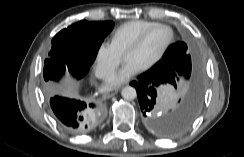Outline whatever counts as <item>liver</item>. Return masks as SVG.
I'll use <instances>...</instances> for the list:
<instances>
[{
    "mask_svg": "<svg viewBox=\"0 0 244 157\" xmlns=\"http://www.w3.org/2000/svg\"><path fill=\"white\" fill-rule=\"evenodd\" d=\"M77 85L73 84L72 82L68 81L67 82V85H66V88L63 90V92L66 94V95H71L73 94V91H74V88L76 87Z\"/></svg>",
    "mask_w": 244,
    "mask_h": 157,
    "instance_id": "6515ba94",
    "label": "liver"
}]
</instances>
